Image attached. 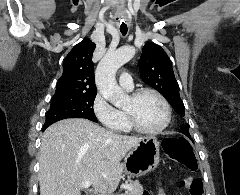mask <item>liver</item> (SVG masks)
<instances>
[{
	"label": "liver",
	"mask_w": 240,
	"mask_h": 195,
	"mask_svg": "<svg viewBox=\"0 0 240 195\" xmlns=\"http://www.w3.org/2000/svg\"><path fill=\"white\" fill-rule=\"evenodd\" d=\"M142 139L83 117L56 121L41 139L40 195H81L83 181H92L95 191L110 195L123 177L121 159Z\"/></svg>",
	"instance_id": "6515ba94"
}]
</instances>
